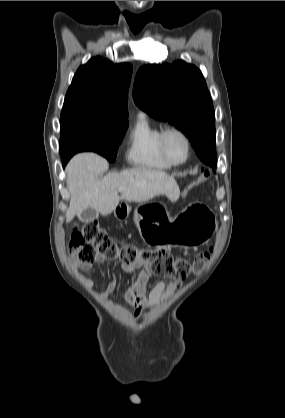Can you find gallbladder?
Masks as SVG:
<instances>
[{
	"instance_id": "obj_1",
	"label": "gallbladder",
	"mask_w": 285,
	"mask_h": 418,
	"mask_svg": "<svg viewBox=\"0 0 285 418\" xmlns=\"http://www.w3.org/2000/svg\"><path fill=\"white\" fill-rule=\"evenodd\" d=\"M98 214H99L98 211L95 210L94 208H88V209H85L80 214L79 219L82 222L87 223V222L95 220L98 217Z\"/></svg>"
}]
</instances>
